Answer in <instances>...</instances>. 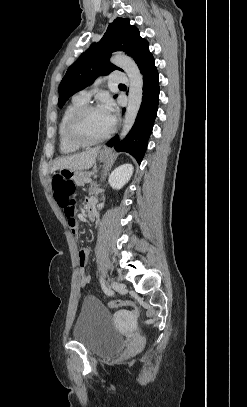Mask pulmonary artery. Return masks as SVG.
<instances>
[{"label": "pulmonary artery", "mask_w": 247, "mask_h": 407, "mask_svg": "<svg viewBox=\"0 0 247 407\" xmlns=\"http://www.w3.org/2000/svg\"><path fill=\"white\" fill-rule=\"evenodd\" d=\"M109 79L113 83H126L128 80V77L126 74H124L122 72L114 71L111 73ZM91 93H92V91L88 90V89L81 90L75 94L74 98L87 102L91 97Z\"/></svg>", "instance_id": "pulmonary-artery-1"}]
</instances>
